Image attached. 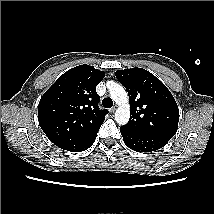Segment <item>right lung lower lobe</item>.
<instances>
[{
	"label": "right lung lower lobe",
	"instance_id": "1",
	"mask_svg": "<svg viewBox=\"0 0 214 214\" xmlns=\"http://www.w3.org/2000/svg\"><path fill=\"white\" fill-rule=\"evenodd\" d=\"M95 138H96V137H95ZM95 138L92 139L84 148H82V149L79 150V151H84V150L88 149L90 146H92V144H93L94 141H95ZM79 151H77V152H79Z\"/></svg>",
	"mask_w": 214,
	"mask_h": 214
}]
</instances>
